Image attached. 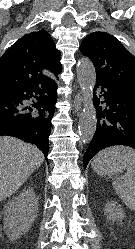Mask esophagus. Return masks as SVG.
<instances>
[{
	"instance_id": "34e87169",
	"label": "esophagus",
	"mask_w": 135,
	"mask_h": 249,
	"mask_svg": "<svg viewBox=\"0 0 135 249\" xmlns=\"http://www.w3.org/2000/svg\"><path fill=\"white\" fill-rule=\"evenodd\" d=\"M82 96H81V93H77L74 97V101H73V105H74V109H75V112H78L81 107H82Z\"/></svg>"
}]
</instances>
